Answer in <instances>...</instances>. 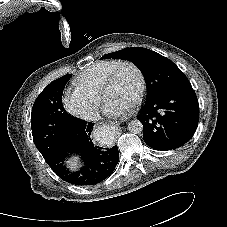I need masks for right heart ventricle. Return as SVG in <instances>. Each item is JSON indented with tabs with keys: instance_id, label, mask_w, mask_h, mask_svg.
<instances>
[{
	"instance_id": "1",
	"label": "right heart ventricle",
	"mask_w": 227,
	"mask_h": 227,
	"mask_svg": "<svg viewBox=\"0 0 227 227\" xmlns=\"http://www.w3.org/2000/svg\"><path fill=\"white\" fill-rule=\"evenodd\" d=\"M118 59L94 62L79 73L72 81L77 90L99 97L102 86L111 71L120 63Z\"/></svg>"
}]
</instances>
